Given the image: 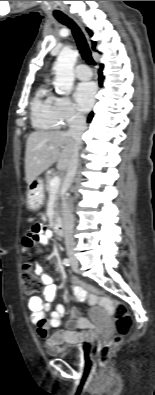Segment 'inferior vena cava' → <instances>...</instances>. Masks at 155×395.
<instances>
[{"label": "inferior vena cava", "mask_w": 155, "mask_h": 395, "mask_svg": "<svg viewBox=\"0 0 155 395\" xmlns=\"http://www.w3.org/2000/svg\"><path fill=\"white\" fill-rule=\"evenodd\" d=\"M86 118L81 114H75L70 120L68 134L74 140V150L71 155L70 162L66 169V176L64 180V186L67 190L73 182L76 175L78 163H79V149L82 144V135L86 130ZM67 197H64V217H63V229L65 234V245L69 255H73L74 251V239H73V227H74V215L72 213L71 206L67 202Z\"/></svg>", "instance_id": "obj_1"}]
</instances>
